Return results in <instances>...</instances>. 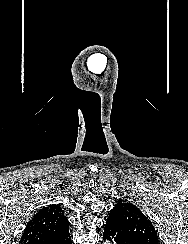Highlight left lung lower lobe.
I'll use <instances>...</instances> for the list:
<instances>
[{
    "instance_id": "1",
    "label": "left lung lower lobe",
    "mask_w": 188,
    "mask_h": 244,
    "mask_svg": "<svg viewBox=\"0 0 188 244\" xmlns=\"http://www.w3.org/2000/svg\"><path fill=\"white\" fill-rule=\"evenodd\" d=\"M103 239L114 244H144L124 227L115 213H110L104 227Z\"/></svg>"
}]
</instances>
